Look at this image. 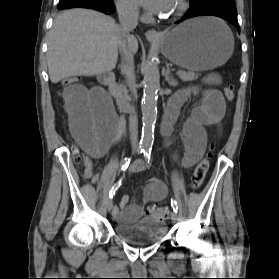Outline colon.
<instances>
[{
	"mask_svg": "<svg viewBox=\"0 0 279 279\" xmlns=\"http://www.w3.org/2000/svg\"><path fill=\"white\" fill-rule=\"evenodd\" d=\"M80 81V77H70L63 79L60 82V85L65 88L69 87L71 85H75ZM225 97L228 101H231L234 99L235 93H234V86L232 84H227L224 89ZM212 149L213 145L211 144L209 146V149L207 153L204 155V157L197 163L195 166L192 176H191V186L194 190H198L201 188V186L204 183L206 174L209 170V159L212 155ZM73 157L74 162L78 167H89L90 166V160L89 158L83 154L80 150L77 148L73 149ZM147 213L157 219H166L169 217V211L164 208L157 205H151L147 208Z\"/></svg>",
	"mask_w": 279,
	"mask_h": 279,
	"instance_id": "5ec220e1",
	"label": "colon"
}]
</instances>
